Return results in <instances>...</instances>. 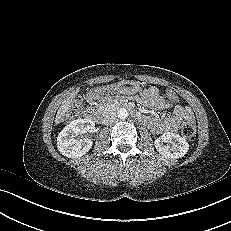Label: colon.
I'll list each match as a JSON object with an SVG mask.
<instances>
[{"label":"colon","mask_w":231,"mask_h":231,"mask_svg":"<svg viewBox=\"0 0 231 231\" xmlns=\"http://www.w3.org/2000/svg\"><path fill=\"white\" fill-rule=\"evenodd\" d=\"M167 98L172 103H177L179 101L177 94L172 90L167 92ZM81 105L82 99L80 97H76L70 110L66 113L65 119L78 115L81 109ZM179 130L181 135L189 141L194 140L196 137V125L193 121H186L182 123Z\"/></svg>","instance_id":"1"}]
</instances>
